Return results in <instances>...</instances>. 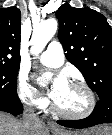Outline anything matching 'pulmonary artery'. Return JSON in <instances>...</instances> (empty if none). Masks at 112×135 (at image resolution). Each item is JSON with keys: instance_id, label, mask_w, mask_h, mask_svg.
I'll return each mask as SVG.
<instances>
[{"instance_id": "obj_1", "label": "pulmonary artery", "mask_w": 112, "mask_h": 135, "mask_svg": "<svg viewBox=\"0 0 112 135\" xmlns=\"http://www.w3.org/2000/svg\"><path fill=\"white\" fill-rule=\"evenodd\" d=\"M40 62L47 67L57 68L64 62V51L58 41H51L47 49L40 55Z\"/></svg>"}]
</instances>
